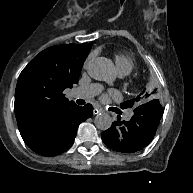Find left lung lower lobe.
<instances>
[{"label": "left lung lower lobe", "mask_w": 193, "mask_h": 193, "mask_svg": "<svg viewBox=\"0 0 193 193\" xmlns=\"http://www.w3.org/2000/svg\"><path fill=\"white\" fill-rule=\"evenodd\" d=\"M163 108L157 100L140 105L130 121H115L102 133V140L113 150L132 153L146 147L153 139Z\"/></svg>", "instance_id": "1"}]
</instances>
